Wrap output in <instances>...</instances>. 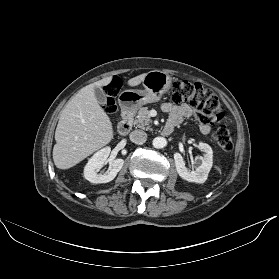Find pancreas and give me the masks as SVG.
Listing matches in <instances>:
<instances>
[{
    "instance_id": "obj_1",
    "label": "pancreas",
    "mask_w": 279,
    "mask_h": 279,
    "mask_svg": "<svg viewBox=\"0 0 279 279\" xmlns=\"http://www.w3.org/2000/svg\"><path fill=\"white\" fill-rule=\"evenodd\" d=\"M150 123L151 119L147 107L140 108L136 120L134 121V125H136L138 128L148 130L150 129Z\"/></svg>"
}]
</instances>
